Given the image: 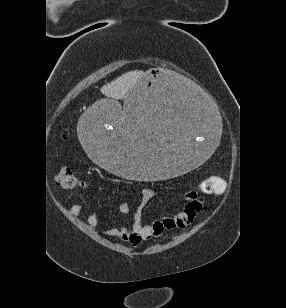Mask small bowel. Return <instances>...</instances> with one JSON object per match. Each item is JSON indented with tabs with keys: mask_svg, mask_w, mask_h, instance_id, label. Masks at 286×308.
<instances>
[{
	"mask_svg": "<svg viewBox=\"0 0 286 308\" xmlns=\"http://www.w3.org/2000/svg\"><path fill=\"white\" fill-rule=\"evenodd\" d=\"M155 196V191L151 188L141 190V202L134 214V221L131 226L114 225L107 235L117 238L132 246H138L142 242L149 241L160 237L164 231L173 229H184L193 222L195 217L201 211L204 201L202 196L196 190H188L185 193L186 203L184 207L175 215L164 217L145 224L141 220L142 207ZM120 213H128L129 206L126 203L118 205ZM83 212V207L79 204L73 205L69 213L73 216ZM103 221L100 212L95 211L87 218L89 226H96Z\"/></svg>",
	"mask_w": 286,
	"mask_h": 308,
	"instance_id": "1",
	"label": "small bowel"
}]
</instances>
